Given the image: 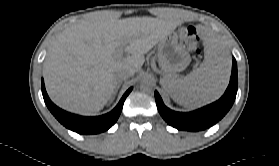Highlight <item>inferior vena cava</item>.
<instances>
[{
	"label": "inferior vena cava",
	"instance_id": "602c4592",
	"mask_svg": "<svg viewBox=\"0 0 279 166\" xmlns=\"http://www.w3.org/2000/svg\"><path fill=\"white\" fill-rule=\"evenodd\" d=\"M134 73L135 70L132 67H123L115 72L114 78L119 83L131 77Z\"/></svg>",
	"mask_w": 279,
	"mask_h": 166
}]
</instances>
